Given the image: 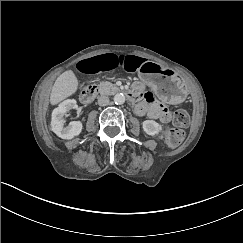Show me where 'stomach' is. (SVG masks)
<instances>
[{
	"instance_id": "stomach-1",
	"label": "stomach",
	"mask_w": 243,
	"mask_h": 243,
	"mask_svg": "<svg viewBox=\"0 0 243 243\" xmlns=\"http://www.w3.org/2000/svg\"><path fill=\"white\" fill-rule=\"evenodd\" d=\"M138 75L163 101L178 104L185 100V83L172 69L147 61L141 64Z\"/></svg>"
}]
</instances>
